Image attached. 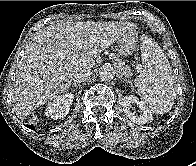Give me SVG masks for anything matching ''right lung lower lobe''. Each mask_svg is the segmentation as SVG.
Instances as JSON below:
<instances>
[{
    "instance_id": "right-lung-lower-lobe-1",
    "label": "right lung lower lobe",
    "mask_w": 196,
    "mask_h": 166,
    "mask_svg": "<svg viewBox=\"0 0 196 166\" xmlns=\"http://www.w3.org/2000/svg\"><path fill=\"white\" fill-rule=\"evenodd\" d=\"M27 127L30 128V129L35 130L33 125H28Z\"/></svg>"
}]
</instances>
